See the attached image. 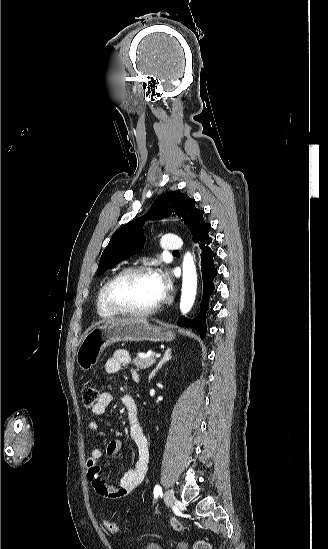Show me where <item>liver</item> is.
Masks as SVG:
<instances>
[{"mask_svg":"<svg viewBox=\"0 0 328 549\" xmlns=\"http://www.w3.org/2000/svg\"><path fill=\"white\" fill-rule=\"evenodd\" d=\"M104 325H109V323H128V319H110V321H102Z\"/></svg>","mask_w":328,"mask_h":549,"instance_id":"1","label":"liver"}]
</instances>
